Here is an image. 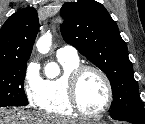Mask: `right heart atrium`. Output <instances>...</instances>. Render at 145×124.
I'll list each match as a JSON object with an SVG mask.
<instances>
[{"mask_svg":"<svg viewBox=\"0 0 145 124\" xmlns=\"http://www.w3.org/2000/svg\"><path fill=\"white\" fill-rule=\"evenodd\" d=\"M43 80L39 73V64L30 62L26 68L24 91L28 100L36 104L40 98Z\"/></svg>","mask_w":145,"mask_h":124,"instance_id":"obj_1","label":"right heart atrium"}]
</instances>
